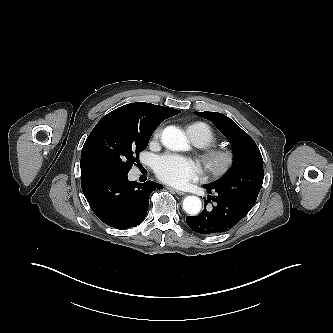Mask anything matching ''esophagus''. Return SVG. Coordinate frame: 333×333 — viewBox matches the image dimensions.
Returning <instances> with one entry per match:
<instances>
[{
	"mask_svg": "<svg viewBox=\"0 0 333 333\" xmlns=\"http://www.w3.org/2000/svg\"><path fill=\"white\" fill-rule=\"evenodd\" d=\"M170 191H173V192H175L176 194H178V195H185L186 193L185 192H183V191H180V190H177V189H175V188H173V187H167Z\"/></svg>",
	"mask_w": 333,
	"mask_h": 333,
	"instance_id": "esophagus-1",
	"label": "esophagus"
}]
</instances>
